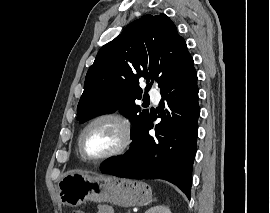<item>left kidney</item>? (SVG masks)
I'll use <instances>...</instances> for the list:
<instances>
[{
	"instance_id": "left-kidney-1",
	"label": "left kidney",
	"mask_w": 270,
	"mask_h": 213,
	"mask_svg": "<svg viewBox=\"0 0 270 213\" xmlns=\"http://www.w3.org/2000/svg\"><path fill=\"white\" fill-rule=\"evenodd\" d=\"M145 213H171V211L166 206L158 205L148 209Z\"/></svg>"
}]
</instances>
